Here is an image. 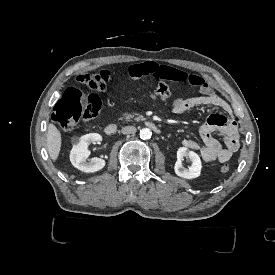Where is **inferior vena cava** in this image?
<instances>
[{"label":"inferior vena cava","mask_w":275,"mask_h":275,"mask_svg":"<svg viewBox=\"0 0 275 275\" xmlns=\"http://www.w3.org/2000/svg\"><path fill=\"white\" fill-rule=\"evenodd\" d=\"M136 132V127L134 126H126L121 129L122 134H132Z\"/></svg>","instance_id":"obj_1"}]
</instances>
